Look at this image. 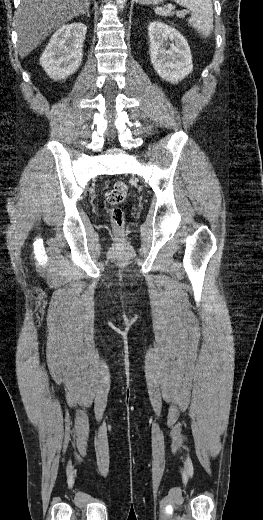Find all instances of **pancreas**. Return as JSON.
Wrapping results in <instances>:
<instances>
[{
  "instance_id": "obj_1",
  "label": "pancreas",
  "mask_w": 263,
  "mask_h": 520,
  "mask_svg": "<svg viewBox=\"0 0 263 520\" xmlns=\"http://www.w3.org/2000/svg\"><path fill=\"white\" fill-rule=\"evenodd\" d=\"M182 16H183V14H182V13H180V14H179V17H182Z\"/></svg>"
}]
</instances>
